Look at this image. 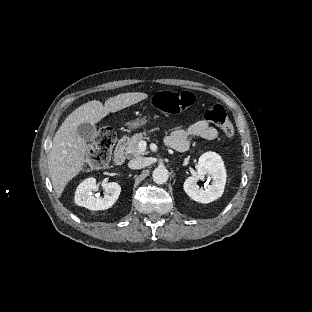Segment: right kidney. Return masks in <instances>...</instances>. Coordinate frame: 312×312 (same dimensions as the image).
I'll use <instances>...</instances> for the list:
<instances>
[{
    "mask_svg": "<svg viewBox=\"0 0 312 312\" xmlns=\"http://www.w3.org/2000/svg\"><path fill=\"white\" fill-rule=\"evenodd\" d=\"M103 197H95L93 191L98 190L95 178H87L82 181L75 191V203L89 210H105L110 208L118 199L121 187L118 183L110 182L102 184Z\"/></svg>",
    "mask_w": 312,
    "mask_h": 312,
    "instance_id": "obj_1",
    "label": "right kidney"
}]
</instances>
